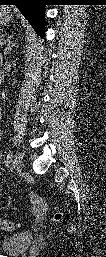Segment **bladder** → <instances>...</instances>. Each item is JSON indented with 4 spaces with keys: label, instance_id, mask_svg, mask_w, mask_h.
<instances>
[{
    "label": "bladder",
    "instance_id": "obj_1",
    "mask_svg": "<svg viewBox=\"0 0 106 257\" xmlns=\"http://www.w3.org/2000/svg\"><path fill=\"white\" fill-rule=\"evenodd\" d=\"M33 242V235L30 232H20L5 238L2 241L1 249L9 256H18L25 253Z\"/></svg>",
    "mask_w": 106,
    "mask_h": 257
}]
</instances>
